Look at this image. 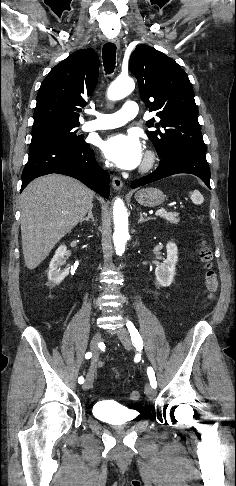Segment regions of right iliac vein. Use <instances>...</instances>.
I'll return each mask as SVG.
<instances>
[{
    "label": "right iliac vein",
    "instance_id": "obj_1",
    "mask_svg": "<svg viewBox=\"0 0 236 486\" xmlns=\"http://www.w3.org/2000/svg\"><path fill=\"white\" fill-rule=\"evenodd\" d=\"M101 341V333L100 331H96L95 334L93 335L92 339H91V342H90V348H91V351L93 352V358H92V366H91V369L89 370L88 374H87V377H86V380H85V383L83 384V389L84 390H89L92 385H93V381H94V364L97 360V356H98V345Z\"/></svg>",
    "mask_w": 236,
    "mask_h": 486
}]
</instances>
